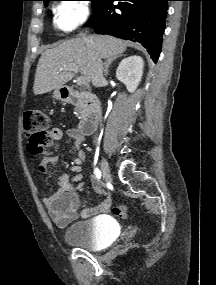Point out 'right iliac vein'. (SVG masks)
Listing matches in <instances>:
<instances>
[{
	"mask_svg": "<svg viewBox=\"0 0 216 285\" xmlns=\"http://www.w3.org/2000/svg\"><path fill=\"white\" fill-rule=\"evenodd\" d=\"M100 165H101V172H102L103 179L106 182H110L112 177H111L108 163L104 158L101 159Z\"/></svg>",
	"mask_w": 216,
	"mask_h": 285,
	"instance_id": "63e3f726",
	"label": "right iliac vein"
}]
</instances>
